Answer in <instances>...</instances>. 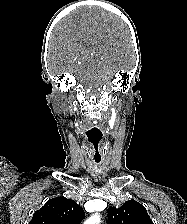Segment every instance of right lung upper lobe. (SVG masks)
I'll return each mask as SVG.
<instances>
[{"instance_id":"1","label":"right lung upper lobe","mask_w":187,"mask_h":224,"mask_svg":"<svg viewBox=\"0 0 187 224\" xmlns=\"http://www.w3.org/2000/svg\"><path fill=\"white\" fill-rule=\"evenodd\" d=\"M84 210L74 200L57 197L37 210L29 224H80Z\"/></svg>"}]
</instances>
